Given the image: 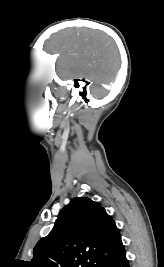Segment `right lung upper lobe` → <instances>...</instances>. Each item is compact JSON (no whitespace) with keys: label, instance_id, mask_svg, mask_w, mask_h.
Returning <instances> with one entry per match:
<instances>
[{"label":"right lung upper lobe","instance_id":"cb5924a9","mask_svg":"<svg viewBox=\"0 0 164 267\" xmlns=\"http://www.w3.org/2000/svg\"><path fill=\"white\" fill-rule=\"evenodd\" d=\"M124 246L118 228L99 202L77 197L38 241L30 267H95Z\"/></svg>","mask_w":164,"mask_h":267}]
</instances>
